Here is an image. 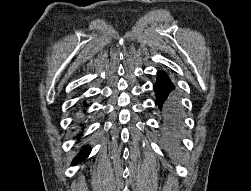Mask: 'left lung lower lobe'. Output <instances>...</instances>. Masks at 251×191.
<instances>
[{"label":"left lung lower lobe","instance_id":"1","mask_svg":"<svg viewBox=\"0 0 251 191\" xmlns=\"http://www.w3.org/2000/svg\"><path fill=\"white\" fill-rule=\"evenodd\" d=\"M175 86L171 83L164 71H159L157 82L154 84L156 105L165 116L167 123L173 126L179 121L177 96L173 92Z\"/></svg>","mask_w":251,"mask_h":191}]
</instances>
